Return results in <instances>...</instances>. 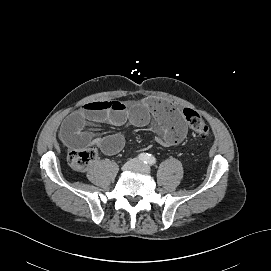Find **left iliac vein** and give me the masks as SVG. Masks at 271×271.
I'll use <instances>...</instances> for the list:
<instances>
[{
	"mask_svg": "<svg viewBox=\"0 0 271 271\" xmlns=\"http://www.w3.org/2000/svg\"><path fill=\"white\" fill-rule=\"evenodd\" d=\"M136 169L140 170V171H142L144 173H147V174L150 173L149 167L147 165L143 164V163H139Z\"/></svg>",
	"mask_w": 271,
	"mask_h": 271,
	"instance_id": "obj_1",
	"label": "left iliac vein"
}]
</instances>
